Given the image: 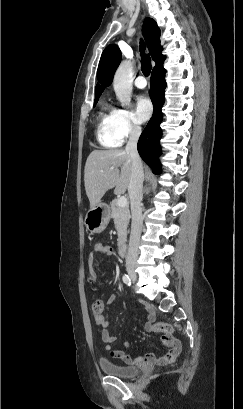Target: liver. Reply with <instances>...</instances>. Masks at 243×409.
I'll list each match as a JSON object with an SVG mask.
<instances>
[{
  "label": "liver",
  "mask_w": 243,
  "mask_h": 409,
  "mask_svg": "<svg viewBox=\"0 0 243 409\" xmlns=\"http://www.w3.org/2000/svg\"><path fill=\"white\" fill-rule=\"evenodd\" d=\"M131 171L132 162L126 150L92 151L84 170L85 191L90 207L99 204L104 194L112 188H115V194L124 193L129 185Z\"/></svg>",
  "instance_id": "obj_1"
}]
</instances>
